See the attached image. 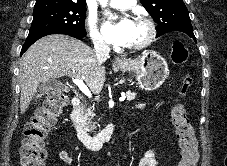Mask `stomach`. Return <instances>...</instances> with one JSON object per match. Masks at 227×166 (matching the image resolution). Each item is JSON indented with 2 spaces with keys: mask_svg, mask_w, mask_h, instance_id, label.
<instances>
[{
  "mask_svg": "<svg viewBox=\"0 0 227 166\" xmlns=\"http://www.w3.org/2000/svg\"><path fill=\"white\" fill-rule=\"evenodd\" d=\"M117 69L135 73L139 87L146 91L159 88L169 74L166 60L156 51H147L135 59H125Z\"/></svg>",
  "mask_w": 227,
  "mask_h": 166,
  "instance_id": "1",
  "label": "stomach"
}]
</instances>
